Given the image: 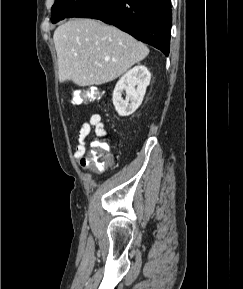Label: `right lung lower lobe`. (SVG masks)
Listing matches in <instances>:
<instances>
[{
    "instance_id": "obj_1",
    "label": "right lung lower lobe",
    "mask_w": 243,
    "mask_h": 289,
    "mask_svg": "<svg viewBox=\"0 0 243 289\" xmlns=\"http://www.w3.org/2000/svg\"><path fill=\"white\" fill-rule=\"evenodd\" d=\"M69 17L99 19L169 54L170 0H85Z\"/></svg>"
}]
</instances>
